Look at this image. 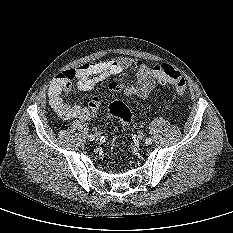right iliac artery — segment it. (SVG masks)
Segmentation results:
<instances>
[{
    "instance_id": "obj_1",
    "label": "right iliac artery",
    "mask_w": 233,
    "mask_h": 233,
    "mask_svg": "<svg viewBox=\"0 0 233 233\" xmlns=\"http://www.w3.org/2000/svg\"><path fill=\"white\" fill-rule=\"evenodd\" d=\"M94 138H95V135H93V134H91V135L88 136V140H89V141H93Z\"/></svg>"
}]
</instances>
